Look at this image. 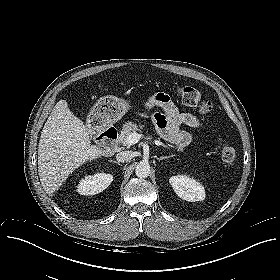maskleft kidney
Instances as JSON below:
<instances>
[{
  "mask_svg": "<svg viewBox=\"0 0 280 280\" xmlns=\"http://www.w3.org/2000/svg\"><path fill=\"white\" fill-rule=\"evenodd\" d=\"M169 182L175 193L183 200L195 202L205 199V189L202 184L188 175L172 176Z\"/></svg>",
  "mask_w": 280,
  "mask_h": 280,
  "instance_id": "left-kidney-1",
  "label": "left kidney"
}]
</instances>
